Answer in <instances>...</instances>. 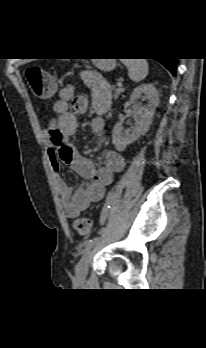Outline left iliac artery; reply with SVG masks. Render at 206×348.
Instances as JSON below:
<instances>
[{
    "label": "left iliac artery",
    "mask_w": 206,
    "mask_h": 348,
    "mask_svg": "<svg viewBox=\"0 0 206 348\" xmlns=\"http://www.w3.org/2000/svg\"><path fill=\"white\" fill-rule=\"evenodd\" d=\"M115 196H116V193L114 192V189H109V194L106 197L105 208H103L101 212V223H104V221H106V218L108 217V214H109L111 201ZM98 239H99L98 237H94L93 239L88 240L85 243V250L90 249L98 241Z\"/></svg>",
    "instance_id": "44dca946"
}]
</instances>
